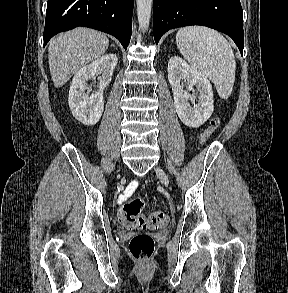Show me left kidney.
<instances>
[{
	"instance_id": "5707ae66",
	"label": "left kidney",
	"mask_w": 288,
	"mask_h": 293,
	"mask_svg": "<svg viewBox=\"0 0 288 293\" xmlns=\"http://www.w3.org/2000/svg\"><path fill=\"white\" fill-rule=\"evenodd\" d=\"M187 79L191 86L199 92L198 103L195 94L185 91L180 81ZM168 80L172 86L175 110L180 120L189 127L197 128L204 124L212 115L213 90L207 77L197 69L189 66L180 57H171L168 62ZM188 101L194 104L192 107Z\"/></svg>"
}]
</instances>
